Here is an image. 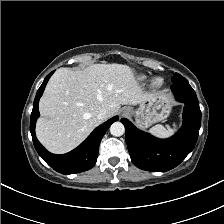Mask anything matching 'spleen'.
Instances as JSON below:
<instances>
[{"label": "spleen", "mask_w": 224, "mask_h": 224, "mask_svg": "<svg viewBox=\"0 0 224 224\" xmlns=\"http://www.w3.org/2000/svg\"><path fill=\"white\" fill-rule=\"evenodd\" d=\"M176 128V123L173 124V128H171L168 124L166 126L157 124L150 128L149 132L157 137H168L174 133Z\"/></svg>", "instance_id": "spleen-1"}]
</instances>
